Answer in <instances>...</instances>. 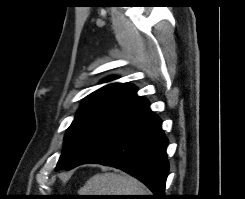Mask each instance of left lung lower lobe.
<instances>
[{
    "mask_svg": "<svg viewBox=\"0 0 245 199\" xmlns=\"http://www.w3.org/2000/svg\"><path fill=\"white\" fill-rule=\"evenodd\" d=\"M140 97L107 123L87 144L68 170L87 163L113 166L136 177L153 193L164 198L168 175V140L161 120Z\"/></svg>",
    "mask_w": 245,
    "mask_h": 199,
    "instance_id": "1",
    "label": "left lung lower lobe"
}]
</instances>
